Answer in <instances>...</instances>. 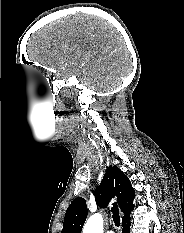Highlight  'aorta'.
I'll return each instance as SVG.
<instances>
[{
	"mask_svg": "<svg viewBox=\"0 0 184 233\" xmlns=\"http://www.w3.org/2000/svg\"><path fill=\"white\" fill-rule=\"evenodd\" d=\"M83 233H103V218L100 214L92 215L83 228Z\"/></svg>",
	"mask_w": 184,
	"mask_h": 233,
	"instance_id": "aorta-1",
	"label": "aorta"
}]
</instances>
